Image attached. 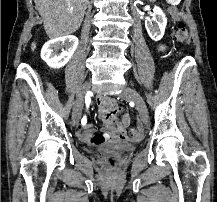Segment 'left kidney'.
Wrapping results in <instances>:
<instances>
[{
  "instance_id": "5707ae66",
  "label": "left kidney",
  "mask_w": 217,
  "mask_h": 202,
  "mask_svg": "<svg viewBox=\"0 0 217 202\" xmlns=\"http://www.w3.org/2000/svg\"><path fill=\"white\" fill-rule=\"evenodd\" d=\"M153 14L156 18V26H153L151 20H145V28L151 40L159 42V40L164 36L165 28L167 26V18L161 8H157V6L154 8Z\"/></svg>"
}]
</instances>
